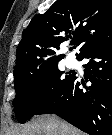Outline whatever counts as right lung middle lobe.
<instances>
[{
	"label": "right lung middle lobe",
	"mask_w": 112,
	"mask_h": 135,
	"mask_svg": "<svg viewBox=\"0 0 112 135\" xmlns=\"http://www.w3.org/2000/svg\"><path fill=\"white\" fill-rule=\"evenodd\" d=\"M62 73L55 61L35 73L15 76L13 105L19 123H25L60 94L73 76L70 73L62 76Z\"/></svg>",
	"instance_id": "right-lung-middle-lobe-1"
}]
</instances>
